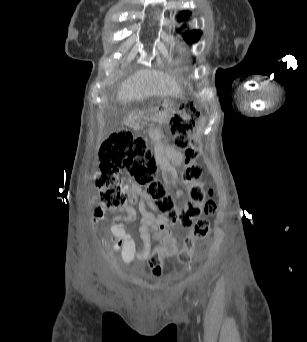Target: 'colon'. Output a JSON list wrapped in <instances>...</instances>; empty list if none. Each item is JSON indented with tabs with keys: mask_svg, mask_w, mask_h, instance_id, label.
<instances>
[{
	"mask_svg": "<svg viewBox=\"0 0 307 342\" xmlns=\"http://www.w3.org/2000/svg\"><path fill=\"white\" fill-rule=\"evenodd\" d=\"M198 118L197 108L186 103L171 115L169 122L175 146L184 154L180 178L191 185L190 200L185 205H177L166 192L164 184L155 178L158 167L146 140L125 130L114 131L101 145L100 166L94 176L95 186L99 190V217L119 216L124 209L128 199V193L122 185V173H125L146 187L147 194L154 200L156 211L166 214L172 224H181L189 229L178 256L179 262L184 265L193 264L192 251L195 244L211 233L209 221L200 217L202 211L207 216H213L218 208L212 190H208V198L205 199L203 183L200 182L203 172L196 163L200 150L190 141V133ZM132 215L128 212L125 217L131 220ZM153 231L156 236L160 235L158 240L163 243H156L154 254L148 262L153 275L159 277L162 273L161 254H178V239L172 235L168 226H155Z\"/></svg>",
	"mask_w": 307,
	"mask_h": 342,
	"instance_id": "5ec220e1",
	"label": "colon"
}]
</instances>
